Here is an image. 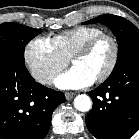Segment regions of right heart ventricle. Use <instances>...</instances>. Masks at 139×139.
<instances>
[{
	"label": "right heart ventricle",
	"instance_id": "obj_1",
	"mask_svg": "<svg viewBox=\"0 0 139 139\" xmlns=\"http://www.w3.org/2000/svg\"><path fill=\"white\" fill-rule=\"evenodd\" d=\"M102 32L95 26H77L53 36L51 41L57 50L68 59L87 40Z\"/></svg>",
	"mask_w": 139,
	"mask_h": 139
}]
</instances>
